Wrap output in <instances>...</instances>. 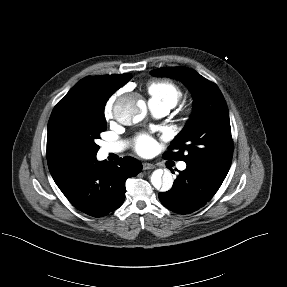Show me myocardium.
Wrapping results in <instances>:
<instances>
[{"instance_id": "myocardium-1", "label": "myocardium", "mask_w": 287, "mask_h": 287, "mask_svg": "<svg viewBox=\"0 0 287 287\" xmlns=\"http://www.w3.org/2000/svg\"><path fill=\"white\" fill-rule=\"evenodd\" d=\"M190 111H191V110H190L189 108L184 109V110H183V115H184V116L189 115V114H190Z\"/></svg>"}]
</instances>
